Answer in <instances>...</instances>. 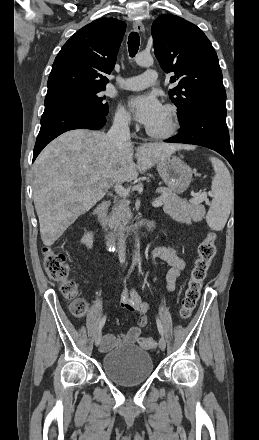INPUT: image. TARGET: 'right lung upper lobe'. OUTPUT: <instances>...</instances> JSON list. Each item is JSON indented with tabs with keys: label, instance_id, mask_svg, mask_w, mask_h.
<instances>
[{
	"label": "right lung upper lobe",
	"instance_id": "cb5924a9",
	"mask_svg": "<svg viewBox=\"0 0 259 440\" xmlns=\"http://www.w3.org/2000/svg\"><path fill=\"white\" fill-rule=\"evenodd\" d=\"M126 24L100 18L78 30L56 56L48 78L47 94L83 87L105 88L114 68Z\"/></svg>",
	"mask_w": 259,
	"mask_h": 440
}]
</instances>
